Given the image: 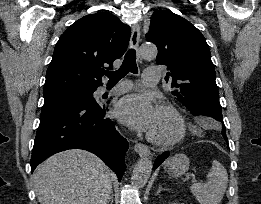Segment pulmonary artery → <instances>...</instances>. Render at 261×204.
Wrapping results in <instances>:
<instances>
[{
    "mask_svg": "<svg viewBox=\"0 0 261 204\" xmlns=\"http://www.w3.org/2000/svg\"><path fill=\"white\" fill-rule=\"evenodd\" d=\"M159 79H160V70L157 67H149L145 69L143 73L144 83L149 85H154L158 83ZM131 87H132V83L130 81H123L118 85H116L115 87H113L112 89L108 90L106 88H102L100 90V93L103 94L105 92H109L111 94H119V93H124L129 91Z\"/></svg>",
    "mask_w": 261,
    "mask_h": 204,
    "instance_id": "e3ab8cb5",
    "label": "pulmonary artery"
}]
</instances>
